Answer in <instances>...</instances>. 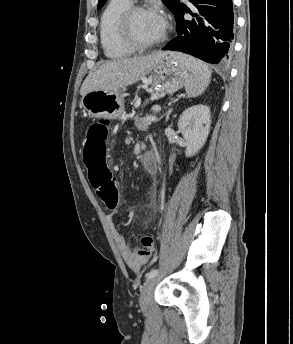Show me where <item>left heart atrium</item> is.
Returning a JSON list of instances; mask_svg holds the SVG:
<instances>
[{
  "label": "left heart atrium",
  "instance_id": "obj_1",
  "mask_svg": "<svg viewBox=\"0 0 293 344\" xmlns=\"http://www.w3.org/2000/svg\"><path fill=\"white\" fill-rule=\"evenodd\" d=\"M154 14H155L157 23H158V25L160 26V28H161L162 30H165L166 22H165L164 17H163L160 13H154Z\"/></svg>",
  "mask_w": 293,
  "mask_h": 344
}]
</instances>
